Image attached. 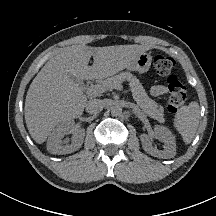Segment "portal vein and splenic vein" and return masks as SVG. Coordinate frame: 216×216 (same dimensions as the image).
<instances>
[{"label": "portal vein and splenic vein", "mask_w": 216, "mask_h": 216, "mask_svg": "<svg viewBox=\"0 0 216 216\" xmlns=\"http://www.w3.org/2000/svg\"><path fill=\"white\" fill-rule=\"evenodd\" d=\"M115 89H122V86L121 85H118L115 87ZM87 91V94L89 95H93V94H99V93H102L104 92L105 90L103 89V87H101L100 85H93V86H90L86 89Z\"/></svg>", "instance_id": "1"}]
</instances>
